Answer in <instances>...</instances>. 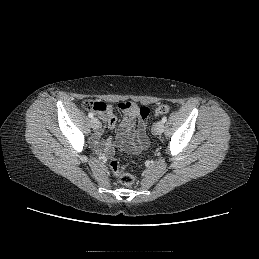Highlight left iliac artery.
<instances>
[{
	"label": "left iliac artery",
	"mask_w": 259,
	"mask_h": 259,
	"mask_svg": "<svg viewBox=\"0 0 259 259\" xmlns=\"http://www.w3.org/2000/svg\"><path fill=\"white\" fill-rule=\"evenodd\" d=\"M166 121H167V117L164 116V117L162 118V122L165 123Z\"/></svg>",
	"instance_id": "1"
}]
</instances>
